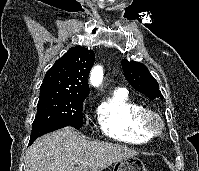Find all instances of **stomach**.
I'll list each match as a JSON object with an SVG mask.
<instances>
[{"instance_id": "1", "label": "stomach", "mask_w": 199, "mask_h": 171, "mask_svg": "<svg viewBox=\"0 0 199 171\" xmlns=\"http://www.w3.org/2000/svg\"><path fill=\"white\" fill-rule=\"evenodd\" d=\"M113 171H147V169L140 159L130 157L116 162Z\"/></svg>"}]
</instances>
